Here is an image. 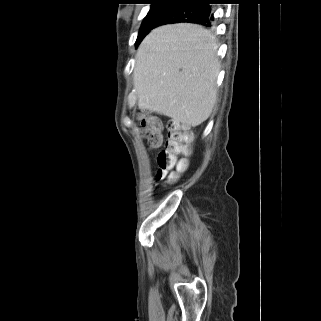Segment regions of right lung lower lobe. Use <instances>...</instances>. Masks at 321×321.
Returning <instances> with one entry per match:
<instances>
[{
	"label": "right lung lower lobe",
	"instance_id": "right-lung-lower-lobe-1",
	"mask_svg": "<svg viewBox=\"0 0 321 321\" xmlns=\"http://www.w3.org/2000/svg\"><path fill=\"white\" fill-rule=\"evenodd\" d=\"M209 3L207 0H193L185 4L176 5L161 17L156 27L179 22L211 26L214 17Z\"/></svg>",
	"mask_w": 321,
	"mask_h": 321
}]
</instances>
